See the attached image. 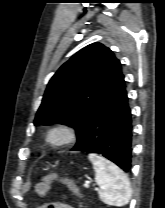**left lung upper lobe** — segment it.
<instances>
[{
  "label": "left lung upper lobe",
  "mask_w": 165,
  "mask_h": 208,
  "mask_svg": "<svg viewBox=\"0 0 165 208\" xmlns=\"http://www.w3.org/2000/svg\"><path fill=\"white\" fill-rule=\"evenodd\" d=\"M122 74L120 61L100 43L73 55L48 83L34 124H66L77 137Z\"/></svg>",
  "instance_id": "obj_1"
}]
</instances>
